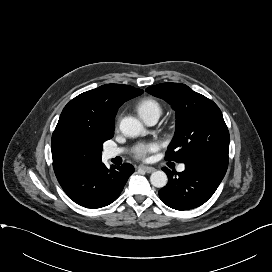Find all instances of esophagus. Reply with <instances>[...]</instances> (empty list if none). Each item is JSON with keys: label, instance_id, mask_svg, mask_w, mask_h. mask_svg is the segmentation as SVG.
Wrapping results in <instances>:
<instances>
[{"label": "esophagus", "instance_id": "obj_1", "mask_svg": "<svg viewBox=\"0 0 272 272\" xmlns=\"http://www.w3.org/2000/svg\"><path fill=\"white\" fill-rule=\"evenodd\" d=\"M138 168L145 171L146 173H151L155 171L154 167L145 166V165H140Z\"/></svg>", "mask_w": 272, "mask_h": 272}]
</instances>
